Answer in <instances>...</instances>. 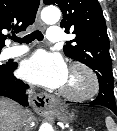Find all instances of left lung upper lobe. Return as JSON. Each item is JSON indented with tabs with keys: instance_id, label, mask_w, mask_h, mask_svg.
<instances>
[{
	"instance_id": "obj_1",
	"label": "left lung upper lobe",
	"mask_w": 117,
	"mask_h": 131,
	"mask_svg": "<svg viewBox=\"0 0 117 131\" xmlns=\"http://www.w3.org/2000/svg\"><path fill=\"white\" fill-rule=\"evenodd\" d=\"M45 5H56L62 13L61 27L66 33L75 34L67 41L65 55L86 64L99 79V88L113 93L112 60L105 19L98 0H43Z\"/></svg>"
}]
</instances>
